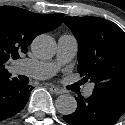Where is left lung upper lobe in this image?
<instances>
[{
    "label": "left lung upper lobe",
    "instance_id": "5c2ea615",
    "mask_svg": "<svg viewBox=\"0 0 125 125\" xmlns=\"http://www.w3.org/2000/svg\"><path fill=\"white\" fill-rule=\"evenodd\" d=\"M64 23L78 41V71L94 90L125 93V33L97 17H66Z\"/></svg>",
    "mask_w": 125,
    "mask_h": 125
}]
</instances>
